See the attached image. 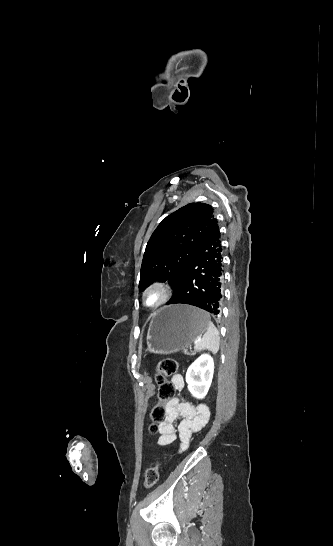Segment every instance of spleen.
<instances>
[{
  "label": "spleen",
  "instance_id": "1",
  "mask_svg": "<svg viewBox=\"0 0 333 546\" xmlns=\"http://www.w3.org/2000/svg\"><path fill=\"white\" fill-rule=\"evenodd\" d=\"M208 316V326L203 337H200L198 341L195 342L194 349L195 351L208 350L212 353H217L220 345L219 332L215 325L212 323L209 314Z\"/></svg>",
  "mask_w": 333,
  "mask_h": 546
}]
</instances>
